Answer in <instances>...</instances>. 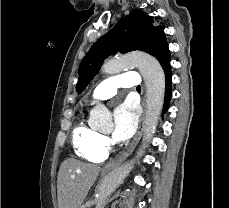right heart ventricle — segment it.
<instances>
[{
	"label": "right heart ventricle",
	"mask_w": 229,
	"mask_h": 208,
	"mask_svg": "<svg viewBox=\"0 0 229 208\" xmlns=\"http://www.w3.org/2000/svg\"><path fill=\"white\" fill-rule=\"evenodd\" d=\"M100 133L88 125L82 114L71 132V145L75 155L88 162L101 161L105 152L99 147Z\"/></svg>",
	"instance_id": "right-heart-ventricle-1"
}]
</instances>
